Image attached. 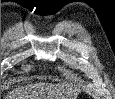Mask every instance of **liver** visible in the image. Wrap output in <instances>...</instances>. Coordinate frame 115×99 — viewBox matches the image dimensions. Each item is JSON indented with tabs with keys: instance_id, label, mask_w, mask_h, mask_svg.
<instances>
[{
	"instance_id": "obj_1",
	"label": "liver",
	"mask_w": 115,
	"mask_h": 99,
	"mask_svg": "<svg viewBox=\"0 0 115 99\" xmlns=\"http://www.w3.org/2000/svg\"><path fill=\"white\" fill-rule=\"evenodd\" d=\"M62 86H54L52 84L36 83L27 85L25 87H18L16 90L10 92L5 96V99H40L47 95L52 97H62L60 91Z\"/></svg>"
}]
</instances>
